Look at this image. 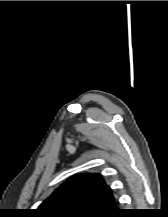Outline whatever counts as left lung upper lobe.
Here are the masks:
<instances>
[{
	"label": "left lung upper lobe",
	"instance_id": "left-lung-upper-lobe-1",
	"mask_svg": "<svg viewBox=\"0 0 168 217\" xmlns=\"http://www.w3.org/2000/svg\"><path fill=\"white\" fill-rule=\"evenodd\" d=\"M114 202L101 175L80 174L57 188L35 212L40 217H101Z\"/></svg>",
	"mask_w": 168,
	"mask_h": 217
}]
</instances>
